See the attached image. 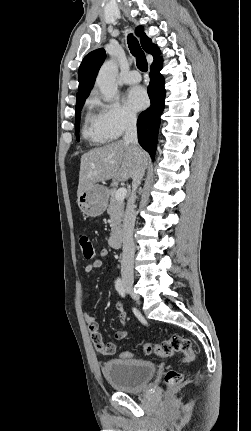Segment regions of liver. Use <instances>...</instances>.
Returning <instances> with one entry per match:
<instances>
[{
  "label": "liver",
  "mask_w": 251,
  "mask_h": 431,
  "mask_svg": "<svg viewBox=\"0 0 251 431\" xmlns=\"http://www.w3.org/2000/svg\"><path fill=\"white\" fill-rule=\"evenodd\" d=\"M147 160L141 148L135 149L123 140L88 151L81 157L77 196L101 181L120 182L133 178Z\"/></svg>",
  "instance_id": "obj_1"
}]
</instances>
